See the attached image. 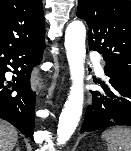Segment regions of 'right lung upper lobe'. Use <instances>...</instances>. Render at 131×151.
Segmentation results:
<instances>
[{
  "instance_id": "obj_1",
  "label": "right lung upper lobe",
  "mask_w": 131,
  "mask_h": 151,
  "mask_svg": "<svg viewBox=\"0 0 131 151\" xmlns=\"http://www.w3.org/2000/svg\"><path fill=\"white\" fill-rule=\"evenodd\" d=\"M44 35L41 0H0V47L43 43Z\"/></svg>"
}]
</instances>
